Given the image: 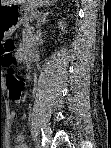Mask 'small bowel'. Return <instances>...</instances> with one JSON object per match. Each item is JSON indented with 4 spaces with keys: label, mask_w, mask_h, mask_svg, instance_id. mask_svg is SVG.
<instances>
[{
    "label": "small bowel",
    "mask_w": 111,
    "mask_h": 148,
    "mask_svg": "<svg viewBox=\"0 0 111 148\" xmlns=\"http://www.w3.org/2000/svg\"><path fill=\"white\" fill-rule=\"evenodd\" d=\"M14 115L15 114L12 112L11 116L14 117ZM17 143H18L17 148H27L28 147L27 144L24 141L23 136H18Z\"/></svg>",
    "instance_id": "obj_1"
}]
</instances>
